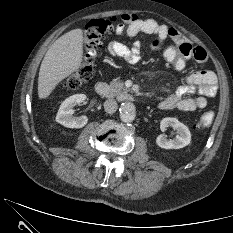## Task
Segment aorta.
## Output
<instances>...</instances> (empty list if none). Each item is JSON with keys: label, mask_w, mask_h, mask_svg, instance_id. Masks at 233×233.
<instances>
[{"label": "aorta", "mask_w": 233, "mask_h": 233, "mask_svg": "<svg viewBox=\"0 0 233 233\" xmlns=\"http://www.w3.org/2000/svg\"><path fill=\"white\" fill-rule=\"evenodd\" d=\"M136 117V108L132 102H123L120 106V118L123 122H132Z\"/></svg>", "instance_id": "aorta-1"}]
</instances>
